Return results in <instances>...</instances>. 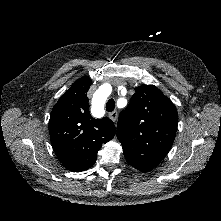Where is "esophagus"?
Returning a JSON list of instances; mask_svg holds the SVG:
<instances>
[{"mask_svg": "<svg viewBox=\"0 0 221 221\" xmlns=\"http://www.w3.org/2000/svg\"><path fill=\"white\" fill-rule=\"evenodd\" d=\"M109 117L112 121L116 122L118 118V112L117 111H112L109 113Z\"/></svg>", "mask_w": 221, "mask_h": 221, "instance_id": "obj_1", "label": "esophagus"}]
</instances>
